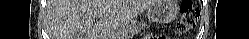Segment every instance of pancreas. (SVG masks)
<instances>
[{"label":"pancreas","mask_w":249,"mask_h":39,"mask_svg":"<svg viewBox=\"0 0 249 39\" xmlns=\"http://www.w3.org/2000/svg\"><path fill=\"white\" fill-rule=\"evenodd\" d=\"M142 27H145V23L142 24ZM139 28L140 27L136 26V27L132 28L131 30H129V33L130 34H137L139 32Z\"/></svg>","instance_id":"pancreas-1"}]
</instances>
